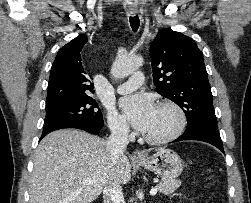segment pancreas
Here are the masks:
<instances>
[{"mask_svg":"<svg viewBox=\"0 0 251 203\" xmlns=\"http://www.w3.org/2000/svg\"><path fill=\"white\" fill-rule=\"evenodd\" d=\"M180 185H181L180 180L162 179L159 182L158 190H159V192H161L165 195H169V194L173 193L177 188H179Z\"/></svg>","mask_w":251,"mask_h":203,"instance_id":"cf45deb5","label":"pancreas"}]
</instances>
